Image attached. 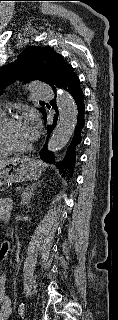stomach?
Here are the masks:
<instances>
[{
  "mask_svg": "<svg viewBox=\"0 0 118 320\" xmlns=\"http://www.w3.org/2000/svg\"><path fill=\"white\" fill-rule=\"evenodd\" d=\"M43 165L27 157H18L0 165V187L7 183H21L40 177Z\"/></svg>",
  "mask_w": 118,
  "mask_h": 320,
  "instance_id": "stomach-1",
  "label": "stomach"
}]
</instances>
